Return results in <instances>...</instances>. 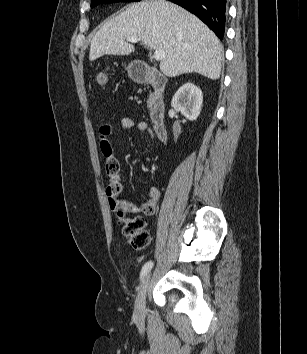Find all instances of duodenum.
Listing matches in <instances>:
<instances>
[{
  "instance_id": "duodenum-1",
  "label": "duodenum",
  "mask_w": 307,
  "mask_h": 354,
  "mask_svg": "<svg viewBox=\"0 0 307 354\" xmlns=\"http://www.w3.org/2000/svg\"><path fill=\"white\" fill-rule=\"evenodd\" d=\"M133 77L136 82L148 83L154 89L150 100L149 115L156 135L164 142L167 140L166 107L163 96L167 83L166 78L150 66L135 70Z\"/></svg>"
}]
</instances>
